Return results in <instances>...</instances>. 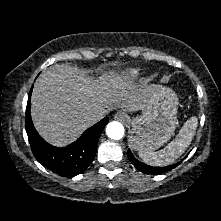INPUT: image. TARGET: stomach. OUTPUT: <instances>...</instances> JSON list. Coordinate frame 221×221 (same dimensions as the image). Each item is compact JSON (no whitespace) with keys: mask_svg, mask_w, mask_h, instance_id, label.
<instances>
[{"mask_svg":"<svg viewBox=\"0 0 221 221\" xmlns=\"http://www.w3.org/2000/svg\"><path fill=\"white\" fill-rule=\"evenodd\" d=\"M177 95L163 86L150 87L141 115L130 118L129 146L136 151H153L163 146L177 127Z\"/></svg>","mask_w":221,"mask_h":221,"instance_id":"stomach-1","label":"stomach"}]
</instances>
